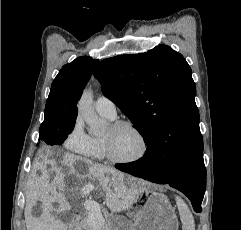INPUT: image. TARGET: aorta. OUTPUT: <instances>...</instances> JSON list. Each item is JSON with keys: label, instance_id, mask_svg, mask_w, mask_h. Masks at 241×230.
I'll list each match as a JSON object with an SVG mask.
<instances>
[{"label": "aorta", "instance_id": "1", "mask_svg": "<svg viewBox=\"0 0 241 230\" xmlns=\"http://www.w3.org/2000/svg\"><path fill=\"white\" fill-rule=\"evenodd\" d=\"M78 113L89 126L91 135H100L104 132L106 122L99 118L93 107V93L90 89L83 92L78 105Z\"/></svg>", "mask_w": 241, "mask_h": 230}]
</instances>
